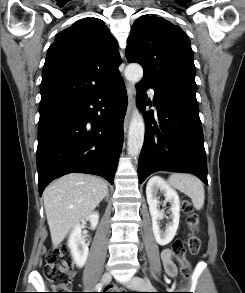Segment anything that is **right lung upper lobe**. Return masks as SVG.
<instances>
[{"label": "right lung upper lobe", "mask_w": 245, "mask_h": 293, "mask_svg": "<svg viewBox=\"0 0 245 293\" xmlns=\"http://www.w3.org/2000/svg\"><path fill=\"white\" fill-rule=\"evenodd\" d=\"M117 41L103 21L84 18L56 35L48 49L40 108L83 100L120 76Z\"/></svg>", "instance_id": "right-lung-upper-lobe-1"}]
</instances>
